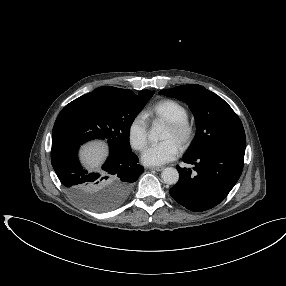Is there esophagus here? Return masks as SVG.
Masks as SVG:
<instances>
[{
	"mask_svg": "<svg viewBox=\"0 0 286 286\" xmlns=\"http://www.w3.org/2000/svg\"><path fill=\"white\" fill-rule=\"evenodd\" d=\"M148 169L150 170H155V171H162L164 169L163 166H159V167H149Z\"/></svg>",
	"mask_w": 286,
	"mask_h": 286,
	"instance_id": "34e87169",
	"label": "esophagus"
}]
</instances>
